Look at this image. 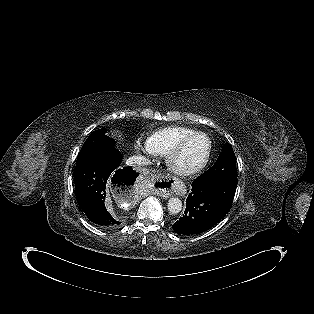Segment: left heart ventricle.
I'll use <instances>...</instances> for the list:
<instances>
[{"instance_id": "left-heart-ventricle-1", "label": "left heart ventricle", "mask_w": 314, "mask_h": 314, "mask_svg": "<svg viewBox=\"0 0 314 314\" xmlns=\"http://www.w3.org/2000/svg\"><path fill=\"white\" fill-rule=\"evenodd\" d=\"M207 151V141L203 137H196L190 141L181 156L183 166H194L202 161Z\"/></svg>"}]
</instances>
